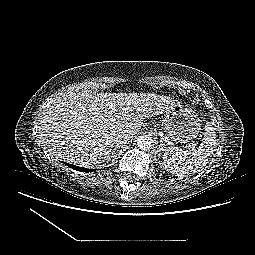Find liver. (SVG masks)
I'll use <instances>...</instances> for the list:
<instances>
[{"label":"liver","mask_w":255,"mask_h":255,"mask_svg":"<svg viewBox=\"0 0 255 255\" xmlns=\"http://www.w3.org/2000/svg\"><path fill=\"white\" fill-rule=\"evenodd\" d=\"M173 102L155 93H66L44 110L38 136L55 158L92 166L109 158L117 133L136 134L144 119L164 113Z\"/></svg>","instance_id":"obj_1"}]
</instances>
